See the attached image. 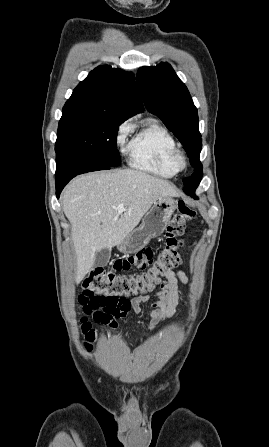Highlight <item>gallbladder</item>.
Instances as JSON below:
<instances>
[{
	"mask_svg": "<svg viewBox=\"0 0 269 447\" xmlns=\"http://www.w3.org/2000/svg\"><path fill=\"white\" fill-rule=\"evenodd\" d=\"M111 255V249L109 247H104L101 251H97L95 257V267H103L107 265Z\"/></svg>",
	"mask_w": 269,
	"mask_h": 447,
	"instance_id": "gallbladder-1",
	"label": "gallbladder"
}]
</instances>
